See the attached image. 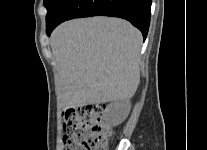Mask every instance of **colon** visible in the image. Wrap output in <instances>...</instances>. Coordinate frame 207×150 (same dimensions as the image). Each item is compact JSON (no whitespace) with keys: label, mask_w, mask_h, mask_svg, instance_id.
Instances as JSON below:
<instances>
[{"label":"colon","mask_w":207,"mask_h":150,"mask_svg":"<svg viewBox=\"0 0 207 150\" xmlns=\"http://www.w3.org/2000/svg\"><path fill=\"white\" fill-rule=\"evenodd\" d=\"M63 128L72 133L64 139V150H107L113 137V129L103 122L97 107L65 111Z\"/></svg>","instance_id":"5ec220e1"}]
</instances>
